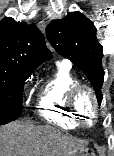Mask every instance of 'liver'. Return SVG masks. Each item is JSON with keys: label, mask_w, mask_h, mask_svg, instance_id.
I'll return each mask as SVG.
<instances>
[{"label": "liver", "mask_w": 114, "mask_h": 156, "mask_svg": "<svg viewBox=\"0 0 114 156\" xmlns=\"http://www.w3.org/2000/svg\"><path fill=\"white\" fill-rule=\"evenodd\" d=\"M86 144L51 125L14 121L0 126V156H70Z\"/></svg>", "instance_id": "6515ba94"}]
</instances>
